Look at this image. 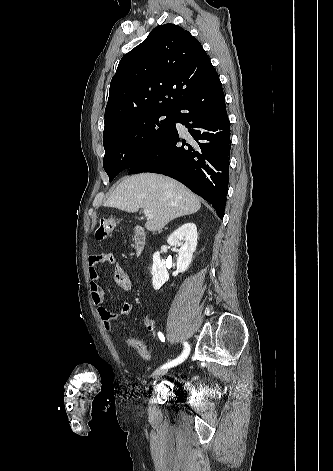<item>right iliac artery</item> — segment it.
Instances as JSON below:
<instances>
[{
    "label": "right iliac artery",
    "mask_w": 333,
    "mask_h": 471,
    "mask_svg": "<svg viewBox=\"0 0 333 471\" xmlns=\"http://www.w3.org/2000/svg\"><path fill=\"white\" fill-rule=\"evenodd\" d=\"M189 353H190V346L187 342H184V350L182 354L178 358L164 364L161 368H170V367H173L182 363L188 357Z\"/></svg>",
    "instance_id": "82829eb1"
}]
</instances>
